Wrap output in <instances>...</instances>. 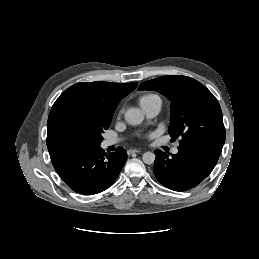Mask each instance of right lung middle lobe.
<instances>
[{"label":"right lung middle lobe","instance_id":"1","mask_svg":"<svg viewBox=\"0 0 259 259\" xmlns=\"http://www.w3.org/2000/svg\"><path fill=\"white\" fill-rule=\"evenodd\" d=\"M112 119L102 120L86 114L71 112L61 117L57 137L62 147L99 146L102 133Z\"/></svg>","mask_w":259,"mask_h":259}]
</instances>
